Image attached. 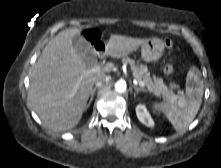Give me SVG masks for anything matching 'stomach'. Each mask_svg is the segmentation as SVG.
Here are the masks:
<instances>
[{
	"instance_id": "1",
	"label": "stomach",
	"mask_w": 221,
	"mask_h": 168,
	"mask_svg": "<svg viewBox=\"0 0 221 168\" xmlns=\"http://www.w3.org/2000/svg\"><path fill=\"white\" fill-rule=\"evenodd\" d=\"M164 52V42L160 38L147 39L141 45V57L145 62L156 63Z\"/></svg>"
}]
</instances>
